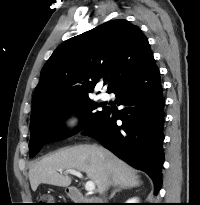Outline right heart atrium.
I'll return each mask as SVG.
<instances>
[{
	"mask_svg": "<svg viewBox=\"0 0 200 205\" xmlns=\"http://www.w3.org/2000/svg\"><path fill=\"white\" fill-rule=\"evenodd\" d=\"M82 123V112L78 108H70L63 114L61 127L65 132H75L81 127Z\"/></svg>",
	"mask_w": 200,
	"mask_h": 205,
	"instance_id": "obj_1",
	"label": "right heart atrium"
}]
</instances>
